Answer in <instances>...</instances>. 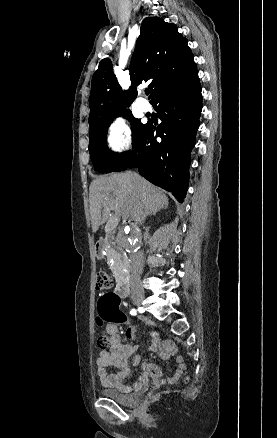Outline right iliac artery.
Returning a JSON list of instances; mask_svg holds the SVG:
<instances>
[{"label":"right iliac artery","instance_id":"right-iliac-artery-1","mask_svg":"<svg viewBox=\"0 0 277 438\" xmlns=\"http://www.w3.org/2000/svg\"><path fill=\"white\" fill-rule=\"evenodd\" d=\"M130 313H131V315L135 316L137 314V311L135 309H132Z\"/></svg>","mask_w":277,"mask_h":438}]
</instances>
